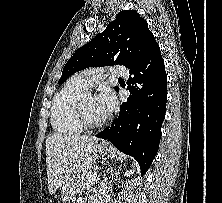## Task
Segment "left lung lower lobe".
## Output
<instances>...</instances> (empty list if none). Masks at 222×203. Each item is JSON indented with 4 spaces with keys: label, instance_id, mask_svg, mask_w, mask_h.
<instances>
[{
    "label": "left lung lower lobe",
    "instance_id": "1",
    "mask_svg": "<svg viewBox=\"0 0 222 203\" xmlns=\"http://www.w3.org/2000/svg\"><path fill=\"white\" fill-rule=\"evenodd\" d=\"M130 96L118 118L96 137L108 139L121 152L133 156L142 173L150 167L159 147L167 102L164 60L152 33L137 62L129 69Z\"/></svg>",
    "mask_w": 222,
    "mask_h": 203
}]
</instances>
